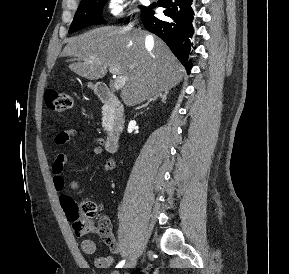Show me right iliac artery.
<instances>
[{"instance_id":"obj_1","label":"right iliac artery","mask_w":289,"mask_h":274,"mask_svg":"<svg viewBox=\"0 0 289 274\" xmlns=\"http://www.w3.org/2000/svg\"><path fill=\"white\" fill-rule=\"evenodd\" d=\"M124 263H125V260L120 261V262L117 264L116 268H122L123 265H124Z\"/></svg>"}]
</instances>
